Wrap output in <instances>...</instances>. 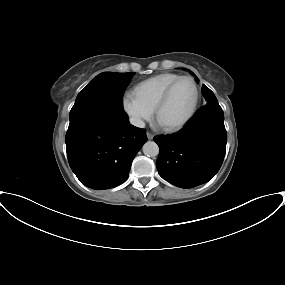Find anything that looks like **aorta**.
Returning <instances> with one entry per match:
<instances>
[{
  "label": "aorta",
  "mask_w": 285,
  "mask_h": 285,
  "mask_svg": "<svg viewBox=\"0 0 285 285\" xmlns=\"http://www.w3.org/2000/svg\"><path fill=\"white\" fill-rule=\"evenodd\" d=\"M142 149L143 153L148 157H155L159 154V147L154 141H147Z\"/></svg>",
  "instance_id": "762f6f07"
}]
</instances>
